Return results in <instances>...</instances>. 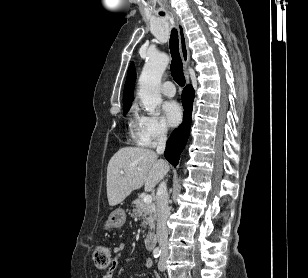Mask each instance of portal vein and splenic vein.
I'll return each instance as SVG.
<instances>
[{"mask_svg": "<svg viewBox=\"0 0 308 278\" xmlns=\"http://www.w3.org/2000/svg\"><path fill=\"white\" fill-rule=\"evenodd\" d=\"M121 174H124V172L122 171ZM143 202L148 204V203H151L152 202V196L147 194L143 197Z\"/></svg>", "mask_w": 308, "mask_h": 278, "instance_id": "portal-vein-and-splenic-vein-1", "label": "portal vein and splenic vein"}]
</instances>
